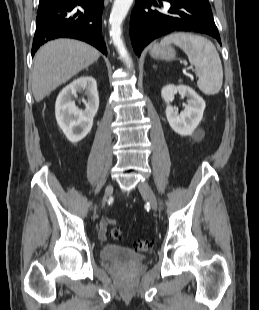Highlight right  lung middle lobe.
Returning a JSON list of instances; mask_svg holds the SVG:
<instances>
[{"label": "right lung middle lobe", "instance_id": "obj_1", "mask_svg": "<svg viewBox=\"0 0 259 310\" xmlns=\"http://www.w3.org/2000/svg\"><path fill=\"white\" fill-rule=\"evenodd\" d=\"M45 1H47V0H44V1H40V3H44Z\"/></svg>", "mask_w": 259, "mask_h": 310}]
</instances>
